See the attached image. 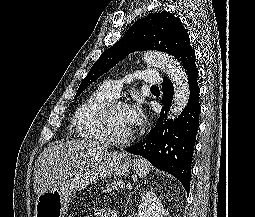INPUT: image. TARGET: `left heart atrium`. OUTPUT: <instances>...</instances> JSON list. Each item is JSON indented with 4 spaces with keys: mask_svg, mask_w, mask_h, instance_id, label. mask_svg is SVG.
I'll return each mask as SVG.
<instances>
[{
    "mask_svg": "<svg viewBox=\"0 0 255 217\" xmlns=\"http://www.w3.org/2000/svg\"><path fill=\"white\" fill-rule=\"evenodd\" d=\"M127 114L129 123L134 130L141 124L142 121L143 114L141 107L137 104L127 107Z\"/></svg>",
    "mask_w": 255,
    "mask_h": 217,
    "instance_id": "obj_1",
    "label": "left heart atrium"
}]
</instances>
